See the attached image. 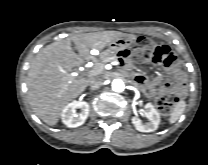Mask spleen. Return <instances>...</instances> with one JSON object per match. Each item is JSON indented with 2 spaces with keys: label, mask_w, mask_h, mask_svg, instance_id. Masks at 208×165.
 <instances>
[{
  "label": "spleen",
  "mask_w": 208,
  "mask_h": 165,
  "mask_svg": "<svg viewBox=\"0 0 208 165\" xmlns=\"http://www.w3.org/2000/svg\"><path fill=\"white\" fill-rule=\"evenodd\" d=\"M185 107H186V103L184 100H180L175 105L173 112L171 113L170 118H169L170 124L175 123L180 118V116L183 114V112L185 110Z\"/></svg>",
  "instance_id": "1"
}]
</instances>
